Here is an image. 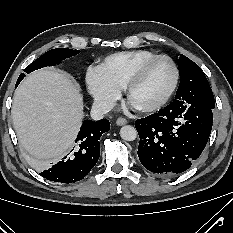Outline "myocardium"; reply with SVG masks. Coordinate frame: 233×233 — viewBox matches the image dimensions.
<instances>
[{"instance_id":"myocardium-1","label":"myocardium","mask_w":233,"mask_h":233,"mask_svg":"<svg viewBox=\"0 0 233 233\" xmlns=\"http://www.w3.org/2000/svg\"><path fill=\"white\" fill-rule=\"evenodd\" d=\"M160 59H166L170 62L171 66L173 68V80L171 82L170 87L166 91V93L158 101H156L155 103L150 104L148 106L137 107L140 111L152 112V111L160 109L169 101V99L172 97L173 93L175 92V90L177 88L180 74H179V69L177 67L176 62L168 55L159 54V55H155V56L148 58V59L144 60L143 62H141L133 70V72L129 75V77L127 78V80L125 81V84L123 86L126 97L129 98V92H130L131 88L141 78V76L143 75V73L147 69V67L151 63H153L154 61L160 60Z\"/></svg>"}]
</instances>
